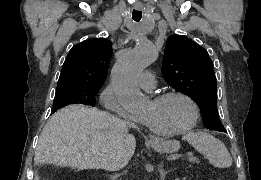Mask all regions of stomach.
Listing matches in <instances>:
<instances>
[{
  "label": "stomach",
  "mask_w": 261,
  "mask_h": 180,
  "mask_svg": "<svg viewBox=\"0 0 261 180\" xmlns=\"http://www.w3.org/2000/svg\"><path fill=\"white\" fill-rule=\"evenodd\" d=\"M151 147L159 153H175L180 149V143L176 140H157Z\"/></svg>",
  "instance_id": "0dacf381"
}]
</instances>
